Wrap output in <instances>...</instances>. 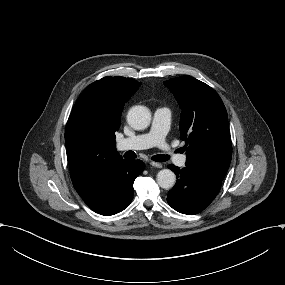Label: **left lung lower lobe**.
Listing matches in <instances>:
<instances>
[{
    "label": "left lung lower lobe",
    "mask_w": 285,
    "mask_h": 285,
    "mask_svg": "<svg viewBox=\"0 0 285 285\" xmlns=\"http://www.w3.org/2000/svg\"><path fill=\"white\" fill-rule=\"evenodd\" d=\"M177 176L175 186L168 192V204L176 211L193 215L203 211L216 197L221 181L209 178L189 167L180 169L168 165Z\"/></svg>",
    "instance_id": "obj_1"
}]
</instances>
